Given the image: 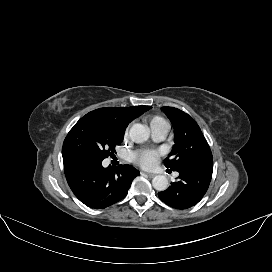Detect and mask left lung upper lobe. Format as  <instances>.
<instances>
[{
    "instance_id": "5c2ea615",
    "label": "left lung upper lobe",
    "mask_w": 272,
    "mask_h": 272,
    "mask_svg": "<svg viewBox=\"0 0 272 272\" xmlns=\"http://www.w3.org/2000/svg\"><path fill=\"white\" fill-rule=\"evenodd\" d=\"M174 127L175 145L164 161L167 168L177 171L183 165L213 161L210 147L196 121L174 107H162Z\"/></svg>"
}]
</instances>
